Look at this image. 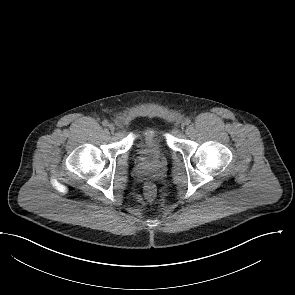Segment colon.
Listing matches in <instances>:
<instances>
[{
	"mask_svg": "<svg viewBox=\"0 0 295 295\" xmlns=\"http://www.w3.org/2000/svg\"><path fill=\"white\" fill-rule=\"evenodd\" d=\"M145 196L148 199H153L156 195V187L153 183L148 182L144 187Z\"/></svg>",
	"mask_w": 295,
	"mask_h": 295,
	"instance_id": "5ec220e1",
	"label": "colon"
}]
</instances>
